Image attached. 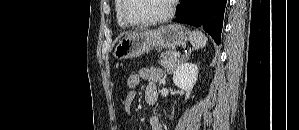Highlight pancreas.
I'll use <instances>...</instances> for the list:
<instances>
[{"mask_svg": "<svg viewBox=\"0 0 299 130\" xmlns=\"http://www.w3.org/2000/svg\"><path fill=\"white\" fill-rule=\"evenodd\" d=\"M160 58L161 65L167 68L168 72L174 70L176 66L179 64V59L178 57H174V51L172 50H166L162 52Z\"/></svg>", "mask_w": 299, "mask_h": 130, "instance_id": "cf45deb5", "label": "pancreas"}]
</instances>
